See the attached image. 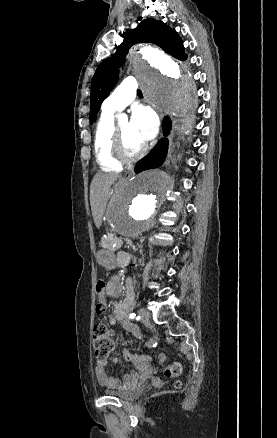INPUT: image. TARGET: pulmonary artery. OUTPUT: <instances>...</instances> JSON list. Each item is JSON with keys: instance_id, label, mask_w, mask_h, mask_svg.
<instances>
[{"instance_id": "obj_1", "label": "pulmonary artery", "mask_w": 277, "mask_h": 438, "mask_svg": "<svg viewBox=\"0 0 277 438\" xmlns=\"http://www.w3.org/2000/svg\"><path fill=\"white\" fill-rule=\"evenodd\" d=\"M137 82L134 76H125L121 81L116 95H108L107 102L103 104V112L107 115H115L131 104L136 94Z\"/></svg>"}]
</instances>
